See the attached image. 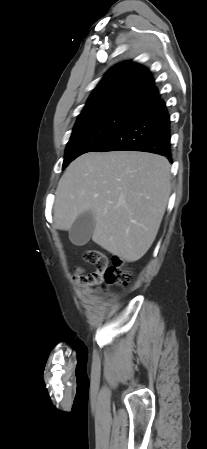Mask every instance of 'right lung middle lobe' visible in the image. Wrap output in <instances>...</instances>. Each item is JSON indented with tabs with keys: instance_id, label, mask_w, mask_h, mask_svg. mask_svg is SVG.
Masks as SVG:
<instances>
[{
	"instance_id": "obj_1",
	"label": "right lung middle lobe",
	"mask_w": 207,
	"mask_h": 449,
	"mask_svg": "<svg viewBox=\"0 0 207 449\" xmlns=\"http://www.w3.org/2000/svg\"><path fill=\"white\" fill-rule=\"evenodd\" d=\"M134 114L135 112L127 110H110L78 117L66 146L62 169L81 154L92 151Z\"/></svg>"
}]
</instances>
